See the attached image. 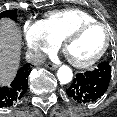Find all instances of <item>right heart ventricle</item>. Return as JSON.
Wrapping results in <instances>:
<instances>
[{
    "label": "right heart ventricle",
    "mask_w": 117,
    "mask_h": 117,
    "mask_svg": "<svg viewBox=\"0 0 117 117\" xmlns=\"http://www.w3.org/2000/svg\"><path fill=\"white\" fill-rule=\"evenodd\" d=\"M91 21H96L94 16L75 8L50 12L42 20L49 33L58 42L79 25Z\"/></svg>",
    "instance_id": "obj_1"
}]
</instances>
